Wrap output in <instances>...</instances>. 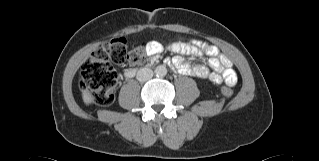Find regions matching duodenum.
Wrapping results in <instances>:
<instances>
[{
  "instance_id": "410a0bca",
  "label": "duodenum",
  "mask_w": 319,
  "mask_h": 161,
  "mask_svg": "<svg viewBox=\"0 0 319 161\" xmlns=\"http://www.w3.org/2000/svg\"><path fill=\"white\" fill-rule=\"evenodd\" d=\"M149 64L146 65V67H148ZM142 68H129V69H126L124 71V76L125 77H132L134 76L137 72H139Z\"/></svg>"
}]
</instances>
